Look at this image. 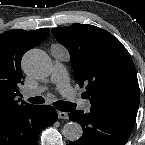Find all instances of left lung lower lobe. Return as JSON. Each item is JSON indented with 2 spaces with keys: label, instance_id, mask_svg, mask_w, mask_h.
<instances>
[{
  "label": "left lung lower lobe",
  "instance_id": "0a47b994",
  "mask_svg": "<svg viewBox=\"0 0 145 145\" xmlns=\"http://www.w3.org/2000/svg\"><path fill=\"white\" fill-rule=\"evenodd\" d=\"M138 107L91 106L69 114L83 128L82 137L69 145H125L135 124Z\"/></svg>",
  "mask_w": 145,
  "mask_h": 145
}]
</instances>
